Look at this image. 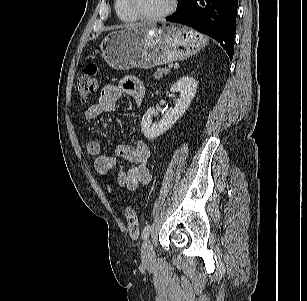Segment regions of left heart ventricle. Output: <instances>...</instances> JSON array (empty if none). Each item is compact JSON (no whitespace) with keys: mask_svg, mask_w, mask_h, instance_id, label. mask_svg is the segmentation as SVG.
<instances>
[{"mask_svg":"<svg viewBox=\"0 0 307 301\" xmlns=\"http://www.w3.org/2000/svg\"><path fill=\"white\" fill-rule=\"evenodd\" d=\"M171 0H135L139 10L144 14H157L166 10Z\"/></svg>","mask_w":307,"mask_h":301,"instance_id":"left-heart-ventricle-1","label":"left heart ventricle"}]
</instances>
